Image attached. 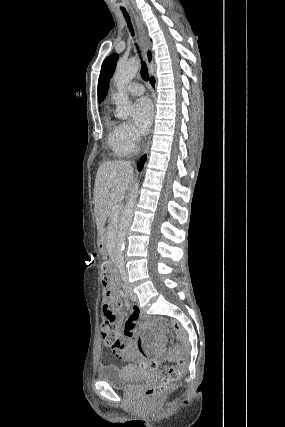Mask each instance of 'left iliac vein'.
I'll list each match as a JSON object with an SVG mask.
<instances>
[{
	"instance_id": "left-iliac-vein-1",
	"label": "left iliac vein",
	"mask_w": 285,
	"mask_h": 427,
	"mask_svg": "<svg viewBox=\"0 0 285 427\" xmlns=\"http://www.w3.org/2000/svg\"><path fill=\"white\" fill-rule=\"evenodd\" d=\"M124 288H125V292L129 296V298L132 301H137V296H136L135 292L133 291V289L127 283L124 285Z\"/></svg>"
}]
</instances>
